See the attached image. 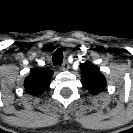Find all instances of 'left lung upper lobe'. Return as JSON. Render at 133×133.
<instances>
[{
	"mask_svg": "<svg viewBox=\"0 0 133 133\" xmlns=\"http://www.w3.org/2000/svg\"><path fill=\"white\" fill-rule=\"evenodd\" d=\"M81 78L84 86L92 94L97 95L104 91L106 87V78L99 71V68L90 61L80 64Z\"/></svg>",
	"mask_w": 133,
	"mask_h": 133,
	"instance_id": "1",
	"label": "left lung upper lobe"
}]
</instances>
